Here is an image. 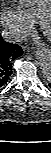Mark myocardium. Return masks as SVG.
I'll return each mask as SVG.
<instances>
[{
	"mask_svg": "<svg viewBox=\"0 0 51 153\" xmlns=\"http://www.w3.org/2000/svg\"><path fill=\"white\" fill-rule=\"evenodd\" d=\"M51 22V11H46L39 19L41 31L47 36H51V29H48V24Z\"/></svg>",
	"mask_w": 51,
	"mask_h": 153,
	"instance_id": "1",
	"label": "myocardium"
}]
</instances>
